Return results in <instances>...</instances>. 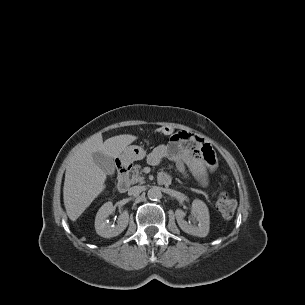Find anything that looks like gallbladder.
Returning a JSON list of instances; mask_svg holds the SVG:
<instances>
[{"label": "gallbladder", "instance_id": "1", "mask_svg": "<svg viewBox=\"0 0 305 305\" xmlns=\"http://www.w3.org/2000/svg\"><path fill=\"white\" fill-rule=\"evenodd\" d=\"M93 160L96 165L101 168L106 174L113 175L115 172L114 161L111 157L104 155L101 152L92 154Z\"/></svg>", "mask_w": 305, "mask_h": 305}]
</instances>
